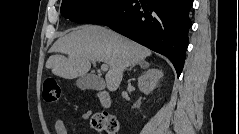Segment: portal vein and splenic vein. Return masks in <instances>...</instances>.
Wrapping results in <instances>:
<instances>
[{"label":"portal vein and splenic vein","instance_id":"18ae733b","mask_svg":"<svg viewBox=\"0 0 239 134\" xmlns=\"http://www.w3.org/2000/svg\"><path fill=\"white\" fill-rule=\"evenodd\" d=\"M101 70L107 71L108 70V65L106 63L101 65Z\"/></svg>","mask_w":239,"mask_h":134}]
</instances>
